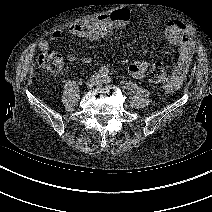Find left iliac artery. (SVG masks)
Segmentation results:
<instances>
[{
	"instance_id": "1",
	"label": "left iliac artery",
	"mask_w": 212,
	"mask_h": 212,
	"mask_svg": "<svg viewBox=\"0 0 212 212\" xmlns=\"http://www.w3.org/2000/svg\"><path fill=\"white\" fill-rule=\"evenodd\" d=\"M104 82H105V83L110 82V78H109V77L104 78Z\"/></svg>"
}]
</instances>
